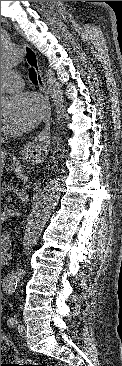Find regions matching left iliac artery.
<instances>
[{"mask_svg":"<svg viewBox=\"0 0 122 366\" xmlns=\"http://www.w3.org/2000/svg\"><path fill=\"white\" fill-rule=\"evenodd\" d=\"M18 324V321L15 317H11L7 320V325L9 327H15Z\"/></svg>","mask_w":122,"mask_h":366,"instance_id":"left-iliac-artery-1","label":"left iliac artery"}]
</instances>
